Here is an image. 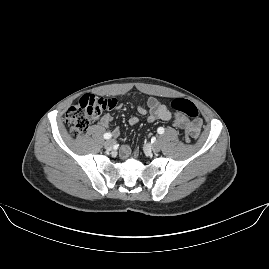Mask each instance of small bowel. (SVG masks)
Masks as SVG:
<instances>
[{
    "instance_id": "c3829d8e",
    "label": "small bowel",
    "mask_w": 269,
    "mask_h": 269,
    "mask_svg": "<svg viewBox=\"0 0 269 269\" xmlns=\"http://www.w3.org/2000/svg\"><path fill=\"white\" fill-rule=\"evenodd\" d=\"M139 113L147 115L149 122H155L157 120L173 121L174 126L184 128L189 125L186 117L181 115L174 116L165 104L160 102L155 97H150L146 103L139 107ZM99 124L103 127H109L113 122V116L110 113H104L99 118ZM139 123L137 116L129 118L130 125H136ZM130 147L127 145L122 146L120 150V156L123 160L127 159L130 155Z\"/></svg>"
}]
</instances>
